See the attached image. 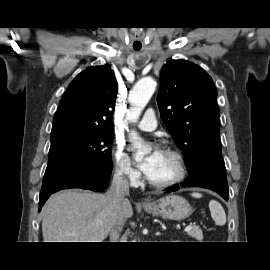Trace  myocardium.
Returning <instances> with one entry per match:
<instances>
[{"label":"myocardium","instance_id":"myocardium-1","mask_svg":"<svg viewBox=\"0 0 270 270\" xmlns=\"http://www.w3.org/2000/svg\"><path fill=\"white\" fill-rule=\"evenodd\" d=\"M163 153L169 156H172L176 160L177 174L172 179L168 181H164V182H155L147 176L146 179H147L148 184L156 189H167V188L174 187L178 185L179 183H181L185 179L186 174H187L186 161L183 154L180 151L175 150V149H167Z\"/></svg>","mask_w":270,"mask_h":270}]
</instances>
